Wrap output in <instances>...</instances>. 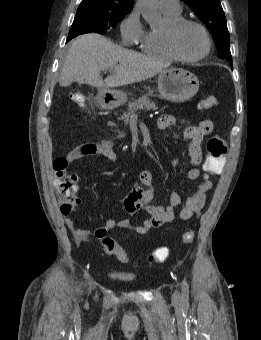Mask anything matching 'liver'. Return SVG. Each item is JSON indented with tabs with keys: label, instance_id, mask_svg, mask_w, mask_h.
<instances>
[{
	"label": "liver",
	"instance_id": "6515ba94",
	"mask_svg": "<svg viewBox=\"0 0 261 340\" xmlns=\"http://www.w3.org/2000/svg\"><path fill=\"white\" fill-rule=\"evenodd\" d=\"M168 64L135 51L124 49L97 33L80 35L71 44L64 62L59 84L72 82L101 89L141 82L164 70ZM109 70L103 80L101 71Z\"/></svg>",
	"mask_w": 261,
	"mask_h": 340
}]
</instances>
